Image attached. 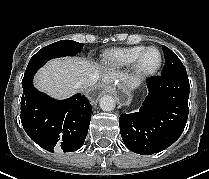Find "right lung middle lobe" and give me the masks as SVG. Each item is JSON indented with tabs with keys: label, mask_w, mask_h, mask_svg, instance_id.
I'll return each instance as SVG.
<instances>
[{
	"label": "right lung middle lobe",
	"mask_w": 209,
	"mask_h": 179,
	"mask_svg": "<svg viewBox=\"0 0 209 179\" xmlns=\"http://www.w3.org/2000/svg\"><path fill=\"white\" fill-rule=\"evenodd\" d=\"M84 44L72 40H61L38 51L29 61L22 83L32 78L36 71L52 58L75 56Z\"/></svg>",
	"instance_id": "dd1d6c3e"
}]
</instances>
